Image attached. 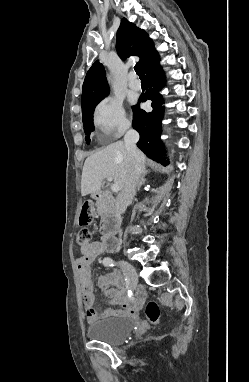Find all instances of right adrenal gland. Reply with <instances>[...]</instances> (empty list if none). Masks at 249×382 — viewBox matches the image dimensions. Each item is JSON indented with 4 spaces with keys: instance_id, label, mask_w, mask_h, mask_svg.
I'll use <instances>...</instances> for the list:
<instances>
[{
    "instance_id": "2a0ac1e0",
    "label": "right adrenal gland",
    "mask_w": 249,
    "mask_h": 382,
    "mask_svg": "<svg viewBox=\"0 0 249 382\" xmlns=\"http://www.w3.org/2000/svg\"><path fill=\"white\" fill-rule=\"evenodd\" d=\"M147 173L148 171L142 173L138 184V190H140L141 185L145 182V176L147 175Z\"/></svg>"
}]
</instances>
